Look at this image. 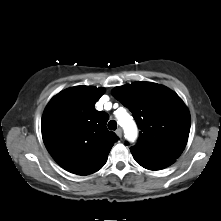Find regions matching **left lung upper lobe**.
Instances as JSON below:
<instances>
[{
  "mask_svg": "<svg viewBox=\"0 0 221 221\" xmlns=\"http://www.w3.org/2000/svg\"><path fill=\"white\" fill-rule=\"evenodd\" d=\"M112 95L133 114L141 132L131 147L137 158L175 161L183 152L190 131V114L181 98L169 88L136 82L115 87Z\"/></svg>",
  "mask_w": 221,
  "mask_h": 221,
  "instance_id": "1",
  "label": "left lung upper lobe"
}]
</instances>
